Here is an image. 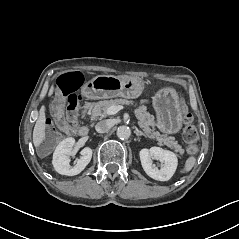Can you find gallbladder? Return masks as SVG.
Instances as JSON below:
<instances>
[{"mask_svg": "<svg viewBox=\"0 0 239 239\" xmlns=\"http://www.w3.org/2000/svg\"><path fill=\"white\" fill-rule=\"evenodd\" d=\"M46 147L44 146V145H41V146H39V147H37V153H38V155H40V151L42 150V149H45Z\"/></svg>", "mask_w": 239, "mask_h": 239, "instance_id": "bac80fb5", "label": "gallbladder"}]
</instances>
